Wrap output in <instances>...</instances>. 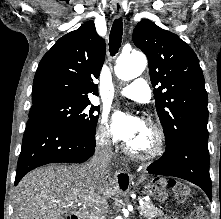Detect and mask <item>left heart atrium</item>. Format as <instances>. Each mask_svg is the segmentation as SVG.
Returning <instances> with one entry per match:
<instances>
[{"instance_id": "39dd6f15", "label": "left heart atrium", "mask_w": 221, "mask_h": 219, "mask_svg": "<svg viewBox=\"0 0 221 219\" xmlns=\"http://www.w3.org/2000/svg\"><path fill=\"white\" fill-rule=\"evenodd\" d=\"M143 127L141 120L130 113L117 111L111 122V132L115 139L128 142Z\"/></svg>"}]
</instances>
